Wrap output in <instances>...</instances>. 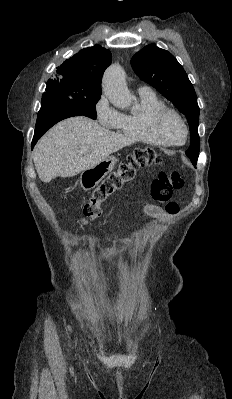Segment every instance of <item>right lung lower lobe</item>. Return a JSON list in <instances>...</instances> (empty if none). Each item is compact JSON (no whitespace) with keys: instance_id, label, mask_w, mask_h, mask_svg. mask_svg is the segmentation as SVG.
I'll return each mask as SVG.
<instances>
[{"instance_id":"obj_1","label":"right lung lower lobe","mask_w":232,"mask_h":399,"mask_svg":"<svg viewBox=\"0 0 232 399\" xmlns=\"http://www.w3.org/2000/svg\"><path fill=\"white\" fill-rule=\"evenodd\" d=\"M82 115L86 116L76 108L60 102H41V109L38 112L35 133L32 141V148L38 139L57 122L69 117Z\"/></svg>"}]
</instances>
